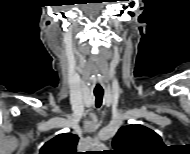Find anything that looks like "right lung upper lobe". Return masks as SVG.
<instances>
[{
  "label": "right lung upper lobe",
  "instance_id": "obj_1",
  "mask_svg": "<svg viewBox=\"0 0 190 154\" xmlns=\"http://www.w3.org/2000/svg\"><path fill=\"white\" fill-rule=\"evenodd\" d=\"M77 143V135L71 133L59 134L46 142L42 146L39 154H77Z\"/></svg>",
  "mask_w": 190,
  "mask_h": 154
}]
</instances>
